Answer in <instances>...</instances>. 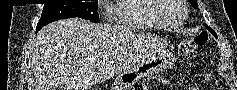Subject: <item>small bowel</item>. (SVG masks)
<instances>
[{
  "label": "small bowel",
  "instance_id": "1",
  "mask_svg": "<svg viewBox=\"0 0 237 90\" xmlns=\"http://www.w3.org/2000/svg\"><path fill=\"white\" fill-rule=\"evenodd\" d=\"M206 79H209L208 76L206 77ZM188 90H201V88L194 86V87L189 88Z\"/></svg>",
  "mask_w": 237,
  "mask_h": 90
}]
</instances>
